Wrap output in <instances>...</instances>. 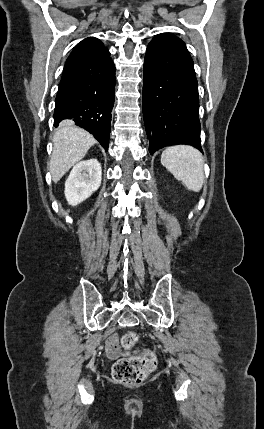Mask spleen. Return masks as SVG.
Wrapping results in <instances>:
<instances>
[{
  "label": "spleen",
  "mask_w": 264,
  "mask_h": 429,
  "mask_svg": "<svg viewBox=\"0 0 264 429\" xmlns=\"http://www.w3.org/2000/svg\"><path fill=\"white\" fill-rule=\"evenodd\" d=\"M162 165L184 186L199 192L204 183V161L194 147L176 145L165 149L161 155Z\"/></svg>",
  "instance_id": "obj_1"
}]
</instances>
